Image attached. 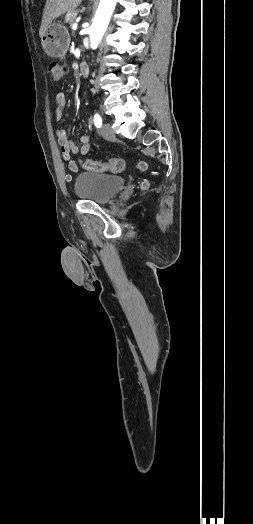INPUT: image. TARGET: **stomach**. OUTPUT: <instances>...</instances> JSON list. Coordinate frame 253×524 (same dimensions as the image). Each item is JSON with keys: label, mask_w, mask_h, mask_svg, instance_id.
Returning a JSON list of instances; mask_svg holds the SVG:
<instances>
[{"label": "stomach", "mask_w": 253, "mask_h": 524, "mask_svg": "<svg viewBox=\"0 0 253 524\" xmlns=\"http://www.w3.org/2000/svg\"><path fill=\"white\" fill-rule=\"evenodd\" d=\"M45 53L52 58H63L70 44L68 29L61 22L50 23L42 39Z\"/></svg>", "instance_id": "stomach-1"}]
</instances>
